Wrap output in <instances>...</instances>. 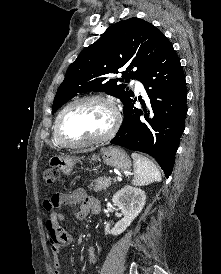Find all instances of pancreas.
Returning a JSON list of instances; mask_svg holds the SVG:
<instances>
[{
    "label": "pancreas",
    "instance_id": "obj_1",
    "mask_svg": "<svg viewBox=\"0 0 221 274\" xmlns=\"http://www.w3.org/2000/svg\"><path fill=\"white\" fill-rule=\"evenodd\" d=\"M112 182L115 183L116 180L106 176L100 177L94 180V182L90 184L89 188L95 192L102 191L109 187Z\"/></svg>",
    "mask_w": 221,
    "mask_h": 274
}]
</instances>
